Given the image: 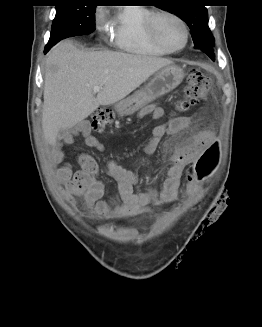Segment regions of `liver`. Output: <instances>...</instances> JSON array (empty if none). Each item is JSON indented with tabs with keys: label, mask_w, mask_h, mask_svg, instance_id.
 Instances as JSON below:
<instances>
[{
	"label": "liver",
	"mask_w": 262,
	"mask_h": 327,
	"mask_svg": "<svg viewBox=\"0 0 262 327\" xmlns=\"http://www.w3.org/2000/svg\"><path fill=\"white\" fill-rule=\"evenodd\" d=\"M169 59L113 51L85 52L71 41L55 45L47 55L42 129L55 145L62 130L74 127L100 105L114 104L138 88ZM102 89L93 91L94 86Z\"/></svg>",
	"instance_id": "obj_1"
}]
</instances>
